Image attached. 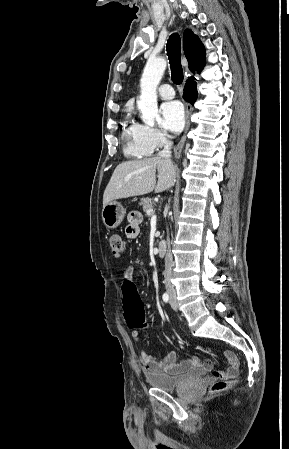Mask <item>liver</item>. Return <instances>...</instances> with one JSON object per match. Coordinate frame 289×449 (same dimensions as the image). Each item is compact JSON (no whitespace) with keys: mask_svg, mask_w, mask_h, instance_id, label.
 <instances>
[{"mask_svg":"<svg viewBox=\"0 0 289 449\" xmlns=\"http://www.w3.org/2000/svg\"><path fill=\"white\" fill-rule=\"evenodd\" d=\"M175 178L172 161L159 156L123 162L115 168L104 191L103 207L116 199L145 195L153 190L163 192L174 184Z\"/></svg>","mask_w":289,"mask_h":449,"instance_id":"1","label":"liver"}]
</instances>
